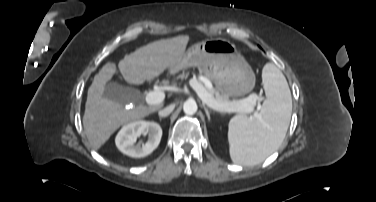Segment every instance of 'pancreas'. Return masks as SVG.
Here are the masks:
<instances>
[{"label":"pancreas","mask_w":376,"mask_h":202,"mask_svg":"<svg viewBox=\"0 0 376 202\" xmlns=\"http://www.w3.org/2000/svg\"><path fill=\"white\" fill-rule=\"evenodd\" d=\"M205 89H206V91H207L209 94H211L212 96H214V98H215L216 100L223 101V102H225V101H230L228 96H225V95L221 94L218 90L210 89V88H205ZM241 100H242V99H241ZM257 100H258V99H257ZM257 100H256V101H257Z\"/></svg>","instance_id":"obj_1"}]
</instances>
